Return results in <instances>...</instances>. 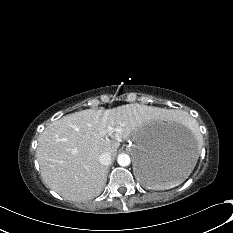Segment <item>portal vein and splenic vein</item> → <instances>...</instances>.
<instances>
[{
  "label": "portal vein and splenic vein",
  "instance_id": "1",
  "mask_svg": "<svg viewBox=\"0 0 233 233\" xmlns=\"http://www.w3.org/2000/svg\"><path fill=\"white\" fill-rule=\"evenodd\" d=\"M114 131V129L112 127H108V129L106 131L103 132V135H106L109 132Z\"/></svg>",
  "mask_w": 233,
  "mask_h": 233
}]
</instances>
